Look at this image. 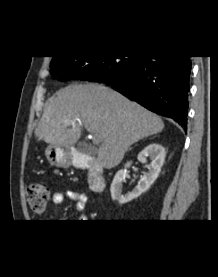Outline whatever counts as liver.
Wrapping results in <instances>:
<instances>
[{
  "instance_id": "6515ba94",
  "label": "liver",
  "mask_w": 218,
  "mask_h": 277,
  "mask_svg": "<svg viewBox=\"0 0 218 277\" xmlns=\"http://www.w3.org/2000/svg\"><path fill=\"white\" fill-rule=\"evenodd\" d=\"M87 123L101 145L98 160L107 169L117 166L137 141L161 132L162 119L101 84H76L60 89L48 101L35 136L51 146L69 147Z\"/></svg>"
}]
</instances>
